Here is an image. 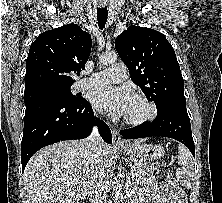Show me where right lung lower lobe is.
Here are the masks:
<instances>
[{
    "instance_id": "right-lung-lower-lobe-1",
    "label": "right lung lower lobe",
    "mask_w": 222,
    "mask_h": 203,
    "mask_svg": "<svg viewBox=\"0 0 222 203\" xmlns=\"http://www.w3.org/2000/svg\"><path fill=\"white\" fill-rule=\"evenodd\" d=\"M95 115L90 103L83 99L76 103L42 100L26 105L24 133L21 145L22 170L31 156L44 146L90 135ZM103 140L112 144L110 128L98 122Z\"/></svg>"
}]
</instances>
